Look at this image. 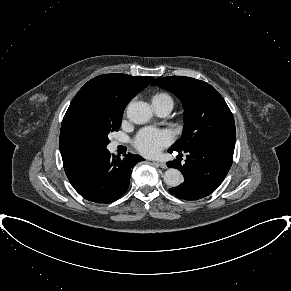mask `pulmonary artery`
I'll return each mask as SVG.
<instances>
[{"label":"pulmonary artery","mask_w":291,"mask_h":291,"mask_svg":"<svg viewBox=\"0 0 291 291\" xmlns=\"http://www.w3.org/2000/svg\"><path fill=\"white\" fill-rule=\"evenodd\" d=\"M155 111L157 112L158 115L160 116H167L170 111L172 110V106L170 103H161V104H153ZM118 143L115 142L114 146H117Z\"/></svg>","instance_id":"obj_1"}]
</instances>
